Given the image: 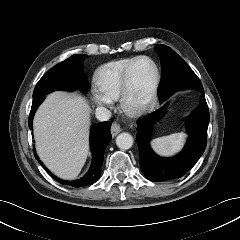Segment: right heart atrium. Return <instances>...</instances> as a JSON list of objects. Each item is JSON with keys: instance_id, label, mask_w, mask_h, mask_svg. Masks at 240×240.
<instances>
[{"instance_id": "d8ad5b80", "label": "right heart atrium", "mask_w": 240, "mask_h": 240, "mask_svg": "<svg viewBox=\"0 0 240 240\" xmlns=\"http://www.w3.org/2000/svg\"><path fill=\"white\" fill-rule=\"evenodd\" d=\"M93 98L95 103L99 106L107 107L112 104V99L108 98L106 95L96 89L93 91Z\"/></svg>"}]
</instances>
